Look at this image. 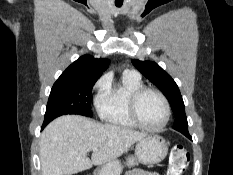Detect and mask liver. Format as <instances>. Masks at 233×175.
I'll use <instances>...</instances> for the list:
<instances>
[{"instance_id":"6515ba94","label":"liver","mask_w":233,"mask_h":175,"mask_svg":"<svg viewBox=\"0 0 233 175\" xmlns=\"http://www.w3.org/2000/svg\"><path fill=\"white\" fill-rule=\"evenodd\" d=\"M145 136L143 132L79 115L58 117L41 134L42 175H72L103 165L120 157ZM89 151L91 160L87 157Z\"/></svg>"}]
</instances>
